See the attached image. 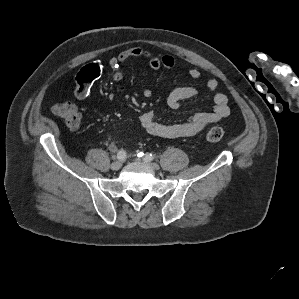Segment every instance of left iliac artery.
<instances>
[{
    "label": "left iliac artery",
    "instance_id": "left-iliac-artery-1",
    "mask_svg": "<svg viewBox=\"0 0 299 299\" xmlns=\"http://www.w3.org/2000/svg\"><path fill=\"white\" fill-rule=\"evenodd\" d=\"M145 159L148 160V161H151V160L154 159V155H152V154H146L145 155Z\"/></svg>",
    "mask_w": 299,
    "mask_h": 299
}]
</instances>
